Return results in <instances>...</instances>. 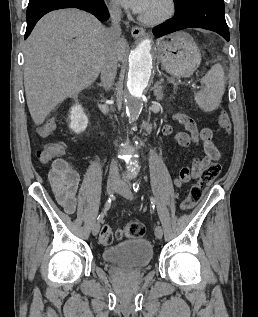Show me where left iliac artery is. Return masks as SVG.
Wrapping results in <instances>:
<instances>
[{
    "label": "left iliac artery",
    "instance_id": "1",
    "mask_svg": "<svg viewBox=\"0 0 258 317\" xmlns=\"http://www.w3.org/2000/svg\"><path fill=\"white\" fill-rule=\"evenodd\" d=\"M140 189V186L137 182H134L133 183V190L137 193ZM150 204H151V209H152V212L154 213L155 212V209H156V202H155V199L150 196Z\"/></svg>",
    "mask_w": 258,
    "mask_h": 317
}]
</instances>
